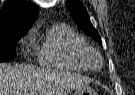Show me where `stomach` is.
Instances as JSON below:
<instances>
[{
	"label": "stomach",
	"mask_w": 135,
	"mask_h": 95,
	"mask_svg": "<svg viewBox=\"0 0 135 95\" xmlns=\"http://www.w3.org/2000/svg\"><path fill=\"white\" fill-rule=\"evenodd\" d=\"M73 95H97V94L93 88L86 85L78 90H75Z\"/></svg>",
	"instance_id": "0dacf381"
}]
</instances>
